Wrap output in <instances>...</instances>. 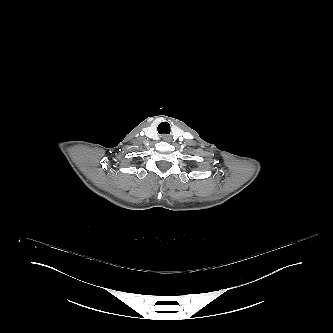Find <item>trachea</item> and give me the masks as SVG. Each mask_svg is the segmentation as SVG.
<instances>
[{
    "label": "trachea",
    "instance_id": "obj_1",
    "mask_svg": "<svg viewBox=\"0 0 333 333\" xmlns=\"http://www.w3.org/2000/svg\"><path fill=\"white\" fill-rule=\"evenodd\" d=\"M159 134H170V124L168 122H162L158 126Z\"/></svg>",
    "mask_w": 333,
    "mask_h": 333
}]
</instances>
